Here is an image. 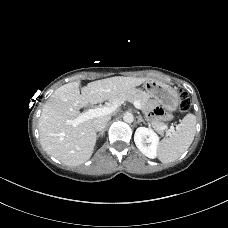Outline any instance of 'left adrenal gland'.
<instances>
[{
    "label": "left adrenal gland",
    "mask_w": 228,
    "mask_h": 228,
    "mask_svg": "<svg viewBox=\"0 0 228 228\" xmlns=\"http://www.w3.org/2000/svg\"><path fill=\"white\" fill-rule=\"evenodd\" d=\"M138 123L143 122L146 125V122L144 121L143 117L141 116L140 113H138Z\"/></svg>",
    "instance_id": "obj_1"
}]
</instances>
